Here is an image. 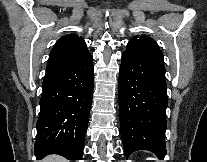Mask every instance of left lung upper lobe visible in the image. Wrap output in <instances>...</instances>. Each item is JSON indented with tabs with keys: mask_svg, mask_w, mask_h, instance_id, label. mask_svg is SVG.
Instances as JSON below:
<instances>
[{
	"mask_svg": "<svg viewBox=\"0 0 207 162\" xmlns=\"http://www.w3.org/2000/svg\"><path fill=\"white\" fill-rule=\"evenodd\" d=\"M124 53L163 64V54L157 43L147 36H134L128 42Z\"/></svg>",
	"mask_w": 207,
	"mask_h": 162,
	"instance_id": "obj_1",
	"label": "left lung upper lobe"
}]
</instances>
